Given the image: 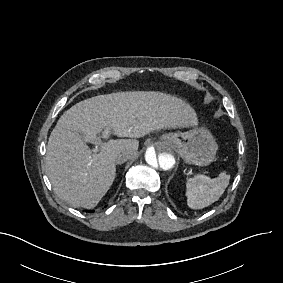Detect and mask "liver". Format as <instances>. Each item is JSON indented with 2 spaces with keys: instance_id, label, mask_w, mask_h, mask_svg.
<instances>
[{
  "instance_id": "1",
  "label": "liver",
  "mask_w": 283,
  "mask_h": 283,
  "mask_svg": "<svg viewBox=\"0 0 283 283\" xmlns=\"http://www.w3.org/2000/svg\"><path fill=\"white\" fill-rule=\"evenodd\" d=\"M195 112L157 92H121L86 99L67 110L52 131L46 171L56 195L74 206L95 207L116 176L115 154L139 147L138 138L163 129L196 128ZM103 132L120 140L103 141ZM87 144L97 146L94 152Z\"/></svg>"
}]
</instances>
